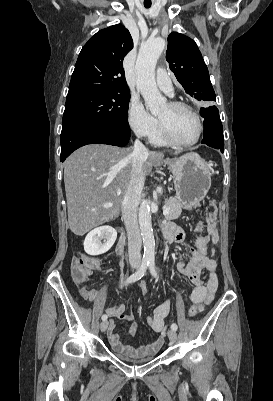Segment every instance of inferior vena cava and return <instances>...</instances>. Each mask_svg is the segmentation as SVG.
<instances>
[{"label":"inferior vena cava","mask_w":273,"mask_h":401,"mask_svg":"<svg viewBox=\"0 0 273 401\" xmlns=\"http://www.w3.org/2000/svg\"><path fill=\"white\" fill-rule=\"evenodd\" d=\"M147 154L148 148H146L140 140H135L134 148L127 156L132 164L131 180L122 203V215L127 231L128 255L130 261H140L141 259L142 239L138 227L137 211L139 201H141L142 188L144 186L142 164Z\"/></svg>","instance_id":"obj_1"}]
</instances>
